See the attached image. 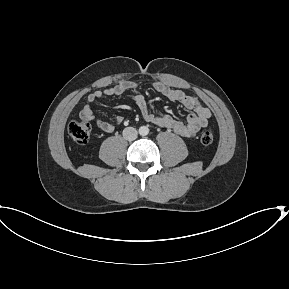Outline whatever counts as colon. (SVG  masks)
Returning <instances> with one entry per match:
<instances>
[{
  "label": "colon",
  "instance_id": "obj_1",
  "mask_svg": "<svg viewBox=\"0 0 289 289\" xmlns=\"http://www.w3.org/2000/svg\"><path fill=\"white\" fill-rule=\"evenodd\" d=\"M90 132L91 126L87 120L72 119L68 124V133L76 143H87L90 137ZM213 138L214 136L211 130L203 131L200 136L201 142L205 145L212 143Z\"/></svg>",
  "mask_w": 289,
  "mask_h": 289
}]
</instances>
